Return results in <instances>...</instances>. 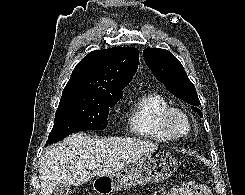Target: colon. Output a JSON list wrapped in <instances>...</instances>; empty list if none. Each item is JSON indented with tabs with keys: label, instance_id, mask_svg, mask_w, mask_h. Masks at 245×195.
<instances>
[{
	"label": "colon",
	"instance_id": "1",
	"mask_svg": "<svg viewBox=\"0 0 245 195\" xmlns=\"http://www.w3.org/2000/svg\"><path fill=\"white\" fill-rule=\"evenodd\" d=\"M165 195H211V192L204 184L189 181L166 192Z\"/></svg>",
	"mask_w": 245,
	"mask_h": 195
}]
</instances>
